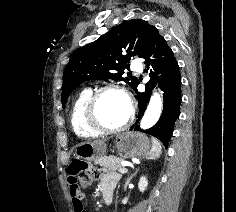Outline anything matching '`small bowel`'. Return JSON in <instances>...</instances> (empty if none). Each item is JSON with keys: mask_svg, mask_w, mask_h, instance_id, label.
Returning a JSON list of instances; mask_svg holds the SVG:
<instances>
[{"mask_svg": "<svg viewBox=\"0 0 236 212\" xmlns=\"http://www.w3.org/2000/svg\"><path fill=\"white\" fill-rule=\"evenodd\" d=\"M66 180L69 186L68 191L70 192L74 212H84L81 190H85V185H81L78 175H66ZM116 181L117 176L115 174L103 176L99 187L100 189L112 191Z\"/></svg>", "mask_w": 236, "mask_h": 212, "instance_id": "obj_1", "label": "small bowel"}]
</instances>
